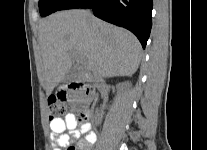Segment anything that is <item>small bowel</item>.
<instances>
[{
    "label": "small bowel",
    "instance_id": "obj_1",
    "mask_svg": "<svg viewBox=\"0 0 207 150\" xmlns=\"http://www.w3.org/2000/svg\"><path fill=\"white\" fill-rule=\"evenodd\" d=\"M53 150H91L97 140L88 121H78L76 116L68 113L64 118L51 119L49 123ZM68 131L69 133H66ZM72 140H77L71 146Z\"/></svg>",
    "mask_w": 207,
    "mask_h": 150
}]
</instances>
